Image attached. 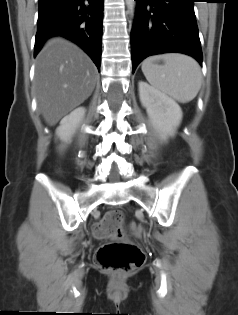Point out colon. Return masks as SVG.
<instances>
[{
    "instance_id": "5ec220e1",
    "label": "colon",
    "mask_w": 238,
    "mask_h": 315,
    "mask_svg": "<svg viewBox=\"0 0 238 315\" xmlns=\"http://www.w3.org/2000/svg\"><path fill=\"white\" fill-rule=\"evenodd\" d=\"M122 224V213L111 211L94 227L98 239L114 240L99 247L95 254L96 265L104 271L123 274L139 268L145 261L144 252L124 239Z\"/></svg>"
}]
</instances>
